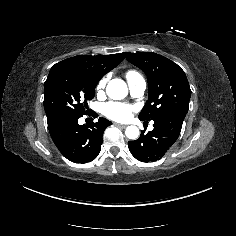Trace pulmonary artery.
<instances>
[{
    "mask_svg": "<svg viewBox=\"0 0 236 236\" xmlns=\"http://www.w3.org/2000/svg\"><path fill=\"white\" fill-rule=\"evenodd\" d=\"M128 85L132 94L137 97H140L144 94L146 90V86H147L145 79L141 77L140 75L133 77L131 79H128ZM149 128L152 129L153 126L150 125Z\"/></svg>",
    "mask_w": 236,
    "mask_h": 236,
    "instance_id": "1",
    "label": "pulmonary artery"
}]
</instances>
